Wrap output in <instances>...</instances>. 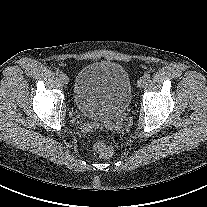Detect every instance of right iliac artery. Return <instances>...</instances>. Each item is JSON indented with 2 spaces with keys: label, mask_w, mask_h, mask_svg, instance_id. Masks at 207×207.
Listing matches in <instances>:
<instances>
[{
  "label": "right iliac artery",
  "mask_w": 207,
  "mask_h": 207,
  "mask_svg": "<svg viewBox=\"0 0 207 207\" xmlns=\"http://www.w3.org/2000/svg\"><path fill=\"white\" fill-rule=\"evenodd\" d=\"M56 75H57V76H61V75H62V71H60V70H56Z\"/></svg>",
  "instance_id": "right-iliac-artery-1"
}]
</instances>
